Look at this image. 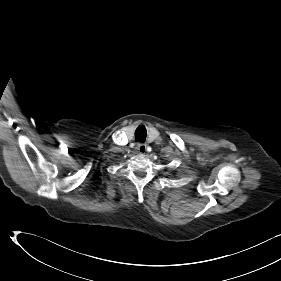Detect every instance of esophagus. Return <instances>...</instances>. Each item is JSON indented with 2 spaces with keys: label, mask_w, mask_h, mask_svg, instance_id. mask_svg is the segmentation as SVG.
I'll return each instance as SVG.
<instances>
[{
  "label": "esophagus",
  "mask_w": 281,
  "mask_h": 281,
  "mask_svg": "<svg viewBox=\"0 0 281 281\" xmlns=\"http://www.w3.org/2000/svg\"><path fill=\"white\" fill-rule=\"evenodd\" d=\"M147 145L144 143H138L137 149L140 153H145Z\"/></svg>",
  "instance_id": "obj_1"
}]
</instances>
